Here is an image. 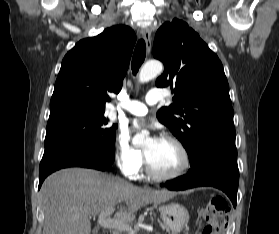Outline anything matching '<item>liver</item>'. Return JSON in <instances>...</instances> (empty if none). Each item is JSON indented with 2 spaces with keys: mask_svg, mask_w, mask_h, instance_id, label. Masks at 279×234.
I'll return each instance as SVG.
<instances>
[{
  "mask_svg": "<svg viewBox=\"0 0 279 234\" xmlns=\"http://www.w3.org/2000/svg\"><path fill=\"white\" fill-rule=\"evenodd\" d=\"M173 196L171 192L137 187L92 169H63L50 175L40 190L45 217L43 234H90V215L125 202L126 209L120 206L114 217L130 222L140 207L162 203Z\"/></svg>",
  "mask_w": 279,
  "mask_h": 234,
  "instance_id": "liver-1",
  "label": "liver"
}]
</instances>
